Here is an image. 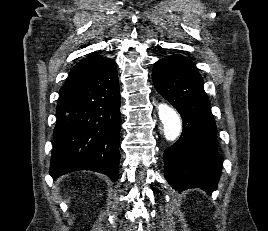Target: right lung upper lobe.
I'll list each match as a JSON object with an SVG mask.
<instances>
[{
    "label": "right lung upper lobe",
    "instance_id": "obj_1",
    "mask_svg": "<svg viewBox=\"0 0 268 231\" xmlns=\"http://www.w3.org/2000/svg\"><path fill=\"white\" fill-rule=\"evenodd\" d=\"M109 58L90 55L89 57L83 59L78 64H76L72 70L70 71L69 77L64 87L60 90V96L64 93V91L73 83L78 82L89 75L96 72L103 64H105Z\"/></svg>",
    "mask_w": 268,
    "mask_h": 231
}]
</instances>
